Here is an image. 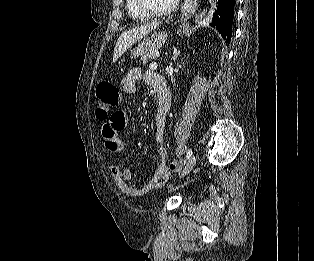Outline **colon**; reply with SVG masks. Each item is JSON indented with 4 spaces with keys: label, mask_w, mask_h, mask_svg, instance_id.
<instances>
[{
    "label": "colon",
    "mask_w": 314,
    "mask_h": 261,
    "mask_svg": "<svg viewBox=\"0 0 314 261\" xmlns=\"http://www.w3.org/2000/svg\"><path fill=\"white\" fill-rule=\"evenodd\" d=\"M95 95L97 117L101 121L108 120L110 113H114V109H117L121 103L122 95L119 88L111 82L104 81L98 84ZM168 168L171 172L178 173L181 167L179 163L173 161Z\"/></svg>",
    "instance_id": "5ec220e1"
}]
</instances>
